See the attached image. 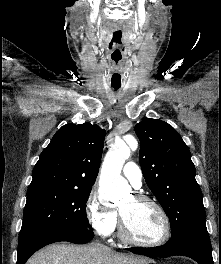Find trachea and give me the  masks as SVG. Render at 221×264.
<instances>
[{"instance_id":"3493384b","label":"trachea","mask_w":221,"mask_h":264,"mask_svg":"<svg viewBox=\"0 0 221 264\" xmlns=\"http://www.w3.org/2000/svg\"><path fill=\"white\" fill-rule=\"evenodd\" d=\"M112 87H113L115 90H117V89H119L121 86H120V85H112Z\"/></svg>"}]
</instances>
